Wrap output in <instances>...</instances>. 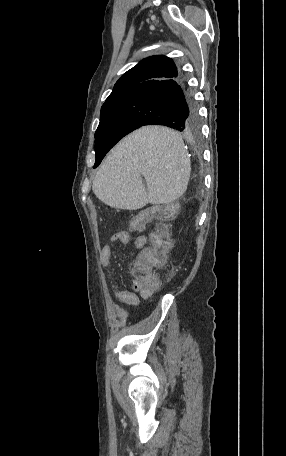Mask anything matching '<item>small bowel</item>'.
Instances as JSON below:
<instances>
[{
	"instance_id": "obj_1",
	"label": "small bowel",
	"mask_w": 286,
	"mask_h": 456,
	"mask_svg": "<svg viewBox=\"0 0 286 456\" xmlns=\"http://www.w3.org/2000/svg\"><path fill=\"white\" fill-rule=\"evenodd\" d=\"M122 235L118 239H112L115 242H121V243H128L130 236L127 232H121ZM147 242V237L144 235L137 236L134 240V245L136 248H142L145 246ZM111 257H112V246L107 244L104 245L100 251V258L105 267H110V262H111ZM113 291L115 293V296L117 299L120 301L125 306L131 307V308H136L139 305V296L138 293L144 298V299H150L153 296V291H143V290H137L135 288V283L133 282V289L134 291H129V290H124L122 289L118 284L113 283Z\"/></svg>"
}]
</instances>
